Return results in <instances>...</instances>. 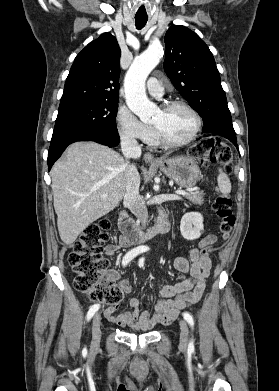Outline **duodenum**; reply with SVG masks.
<instances>
[{
	"instance_id": "obj_1",
	"label": "duodenum",
	"mask_w": 279,
	"mask_h": 391,
	"mask_svg": "<svg viewBox=\"0 0 279 391\" xmlns=\"http://www.w3.org/2000/svg\"><path fill=\"white\" fill-rule=\"evenodd\" d=\"M119 230L127 245L142 244L155 236L167 233L172 227V221L167 214L161 216L157 222L148 229H142L127 215L125 211L120 212L118 218Z\"/></svg>"
}]
</instances>
